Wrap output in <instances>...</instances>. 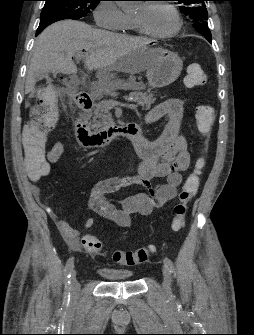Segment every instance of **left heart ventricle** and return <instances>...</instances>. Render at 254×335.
<instances>
[{
    "label": "left heart ventricle",
    "instance_id": "obj_1",
    "mask_svg": "<svg viewBox=\"0 0 254 335\" xmlns=\"http://www.w3.org/2000/svg\"><path fill=\"white\" fill-rule=\"evenodd\" d=\"M133 18L148 31L156 33L168 32L175 25L173 13L164 5L142 4L134 13Z\"/></svg>",
    "mask_w": 254,
    "mask_h": 335
}]
</instances>
